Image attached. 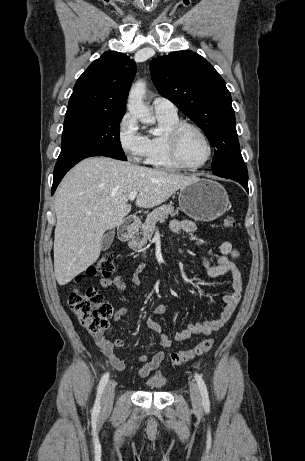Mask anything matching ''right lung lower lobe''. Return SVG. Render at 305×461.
Masks as SVG:
<instances>
[{
	"label": "right lung lower lobe",
	"mask_w": 305,
	"mask_h": 461,
	"mask_svg": "<svg viewBox=\"0 0 305 461\" xmlns=\"http://www.w3.org/2000/svg\"><path fill=\"white\" fill-rule=\"evenodd\" d=\"M92 156H107V157H112L109 154L106 153H101V152H89L86 154H79L75 155L71 158H68L66 160H57V163L55 165L54 169V180H53V185H52V195L54 194L58 184L64 177V175L69 171L75 164H77L79 161L87 158V157H92ZM113 158V157H112Z\"/></svg>",
	"instance_id": "right-lung-lower-lobe-1"
}]
</instances>
